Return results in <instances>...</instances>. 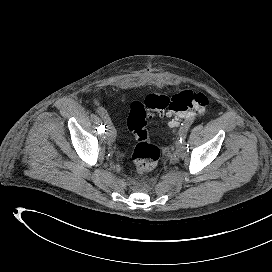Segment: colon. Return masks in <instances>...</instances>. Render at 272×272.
I'll return each instance as SVG.
<instances>
[{
    "label": "colon",
    "instance_id": "5ec220e1",
    "mask_svg": "<svg viewBox=\"0 0 272 272\" xmlns=\"http://www.w3.org/2000/svg\"><path fill=\"white\" fill-rule=\"evenodd\" d=\"M209 100L202 92L184 89L168 96L153 93L143 101L135 100L130 104L127 125L136 138L132 159L140 174L152 171L160 157L159 148L150 141L147 122L154 112H167L174 117L176 125L180 118H191L195 113L205 112Z\"/></svg>",
    "mask_w": 272,
    "mask_h": 272
}]
</instances>
